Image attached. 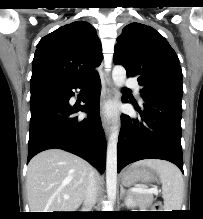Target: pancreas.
I'll use <instances>...</instances> for the list:
<instances>
[{
	"label": "pancreas",
	"mask_w": 203,
	"mask_h": 219,
	"mask_svg": "<svg viewBox=\"0 0 203 219\" xmlns=\"http://www.w3.org/2000/svg\"><path fill=\"white\" fill-rule=\"evenodd\" d=\"M132 195L143 204H151L154 200L152 194H140V193H132Z\"/></svg>",
	"instance_id": "pancreas-1"
}]
</instances>
